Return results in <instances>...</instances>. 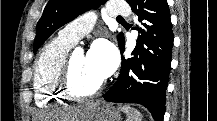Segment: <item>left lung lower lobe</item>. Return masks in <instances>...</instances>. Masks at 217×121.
<instances>
[{
    "label": "left lung lower lobe",
    "instance_id": "obj_1",
    "mask_svg": "<svg viewBox=\"0 0 217 121\" xmlns=\"http://www.w3.org/2000/svg\"><path fill=\"white\" fill-rule=\"evenodd\" d=\"M136 18L140 35L129 58H122L120 75L103 95L109 102L138 103L145 106L155 121L165 113L166 89L173 48V31L166 0H128ZM124 37L119 41L125 51Z\"/></svg>",
    "mask_w": 217,
    "mask_h": 121
}]
</instances>
